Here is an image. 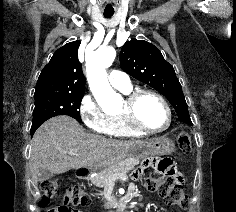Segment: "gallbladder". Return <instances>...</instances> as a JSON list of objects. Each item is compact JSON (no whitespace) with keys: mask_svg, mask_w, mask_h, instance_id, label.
I'll use <instances>...</instances> for the list:
<instances>
[{"mask_svg":"<svg viewBox=\"0 0 236 212\" xmlns=\"http://www.w3.org/2000/svg\"><path fill=\"white\" fill-rule=\"evenodd\" d=\"M53 177V173L46 169H40L38 173V181L48 180Z\"/></svg>","mask_w":236,"mask_h":212,"instance_id":"obj_1","label":"gallbladder"}]
</instances>
